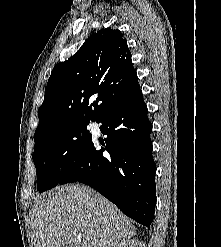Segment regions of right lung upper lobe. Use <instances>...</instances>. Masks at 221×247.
Listing matches in <instances>:
<instances>
[{
    "instance_id": "cb5924a9",
    "label": "right lung upper lobe",
    "mask_w": 221,
    "mask_h": 247,
    "mask_svg": "<svg viewBox=\"0 0 221 247\" xmlns=\"http://www.w3.org/2000/svg\"><path fill=\"white\" fill-rule=\"evenodd\" d=\"M138 89L137 73L122 33L102 29L53 68L38 110L34 138L65 123L97 121ZM95 95L96 101L89 106L90 97Z\"/></svg>"
}]
</instances>
